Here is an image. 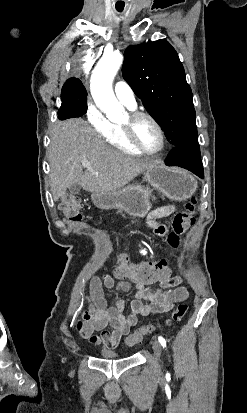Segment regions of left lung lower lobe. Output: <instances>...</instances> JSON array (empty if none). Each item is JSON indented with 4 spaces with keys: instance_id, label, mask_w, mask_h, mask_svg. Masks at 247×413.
I'll return each mask as SVG.
<instances>
[{
    "instance_id": "0a47b994",
    "label": "left lung lower lobe",
    "mask_w": 247,
    "mask_h": 413,
    "mask_svg": "<svg viewBox=\"0 0 247 413\" xmlns=\"http://www.w3.org/2000/svg\"><path fill=\"white\" fill-rule=\"evenodd\" d=\"M165 164L168 166H179L185 168L200 178H204L203 165L198 143L174 146L166 158Z\"/></svg>"
}]
</instances>
